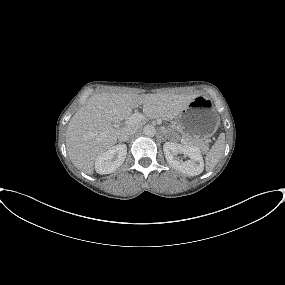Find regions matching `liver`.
<instances>
[{"mask_svg":"<svg viewBox=\"0 0 285 285\" xmlns=\"http://www.w3.org/2000/svg\"><path fill=\"white\" fill-rule=\"evenodd\" d=\"M198 94L98 93L91 96L73 115L66 130V148L73 165L92 175L97 157L112 148L118 139L113 123L130 117L132 109L143 105L150 118L172 120ZM138 129L140 124H126Z\"/></svg>","mask_w":285,"mask_h":285,"instance_id":"obj_1","label":"liver"}]
</instances>
